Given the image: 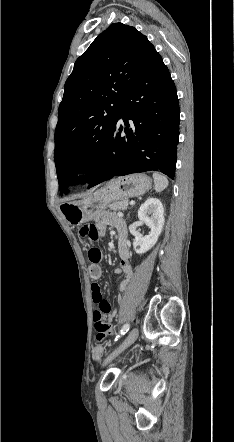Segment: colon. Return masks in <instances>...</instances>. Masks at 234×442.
Here are the masks:
<instances>
[{
  "mask_svg": "<svg viewBox=\"0 0 234 442\" xmlns=\"http://www.w3.org/2000/svg\"><path fill=\"white\" fill-rule=\"evenodd\" d=\"M80 235L82 237L88 236L91 240L97 239V229L92 224L84 225L80 229ZM88 258L91 262L89 272L92 279H99L101 277V268L99 262L101 260V251L96 246H90L87 251ZM92 299L96 307L94 308V314H107L110 310V304L107 300L102 297L101 290L99 286H95L92 290ZM96 329V328H95ZM93 354L95 356L96 362L102 361V354L104 347L101 344H96L93 347Z\"/></svg>",
  "mask_w": 234,
  "mask_h": 442,
  "instance_id": "obj_1",
  "label": "colon"
}]
</instances>
